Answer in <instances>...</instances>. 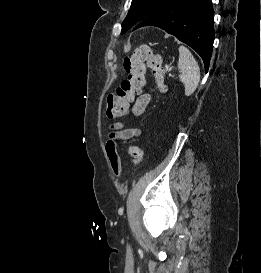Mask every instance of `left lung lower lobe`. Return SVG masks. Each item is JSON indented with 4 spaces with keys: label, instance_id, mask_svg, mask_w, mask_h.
<instances>
[{
    "label": "left lung lower lobe",
    "instance_id": "0a47b994",
    "mask_svg": "<svg viewBox=\"0 0 261 273\" xmlns=\"http://www.w3.org/2000/svg\"><path fill=\"white\" fill-rule=\"evenodd\" d=\"M213 18L211 0H170L135 29L156 26L174 35L201 56L207 72L214 42Z\"/></svg>",
    "mask_w": 261,
    "mask_h": 273
}]
</instances>
